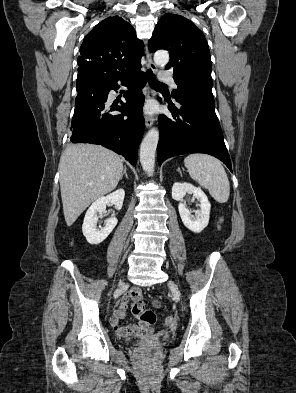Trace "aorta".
Wrapping results in <instances>:
<instances>
[{
    "instance_id": "762f6f07",
    "label": "aorta",
    "mask_w": 296,
    "mask_h": 393,
    "mask_svg": "<svg viewBox=\"0 0 296 393\" xmlns=\"http://www.w3.org/2000/svg\"><path fill=\"white\" fill-rule=\"evenodd\" d=\"M169 61V54L167 51H157L154 54V62L157 65L167 64ZM159 140V131L157 128H152L148 131L140 145V163L143 170L151 175L155 166V153Z\"/></svg>"
}]
</instances>
